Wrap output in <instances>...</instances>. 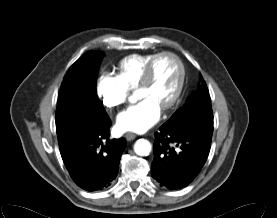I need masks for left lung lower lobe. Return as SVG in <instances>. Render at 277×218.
<instances>
[{"mask_svg":"<svg viewBox=\"0 0 277 218\" xmlns=\"http://www.w3.org/2000/svg\"><path fill=\"white\" fill-rule=\"evenodd\" d=\"M212 133L213 122L163 124L155 134L152 177L170 190L190 184L208 157Z\"/></svg>","mask_w":277,"mask_h":218,"instance_id":"1","label":"left lung lower lobe"}]
</instances>
